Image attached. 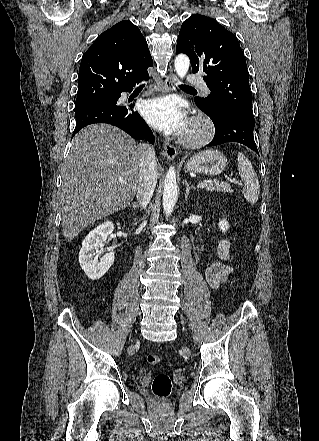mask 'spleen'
<instances>
[{
    "label": "spleen",
    "mask_w": 319,
    "mask_h": 441,
    "mask_svg": "<svg viewBox=\"0 0 319 441\" xmlns=\"http://www.w3.org/2000/svg\"><path fill=\"white\" fill-rule=\"evenodd\" d=\"M237 157L238 172L244 182L243 195L249 203L255 204L258 201L260 190L258 177L251 162L243 153L239 152Z\"/></svg>",
    "instance_id": "spleen-1"
}]
</instances>
